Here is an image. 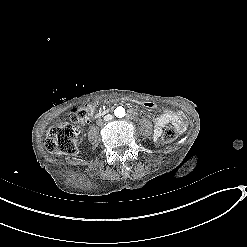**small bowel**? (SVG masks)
<instances>
[{
    "label": "small bowel",
    "mask_w": 247,
    "mask_h": 247,
    "mask_svg": "<svg viewBox=\"0 0 247 247\" xmlns=\"http://www.w3.org/2000/svg\"><path fill=\"white\" fill-rule=\"evenodd\" d=\"M169 124L177 127H184V116L180 112H174L170 110L164 111L161 115H158L154 119V135L159 137L162 130Z\"/></svg>",
    "instance_id": "small-bowel-1"
}]
</instances>
